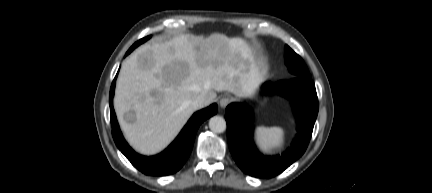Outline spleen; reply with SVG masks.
Returning a JSON list of instances; mask_svg holds the SVG:
<instances>
[{
    "label": "spleen",
    "instance_id": "1",
    "mask_svg": "<svg viewBox=\"0 0 432 193\" xmlns=\"http://www.w3.org/2000/svg\"><path fill=\"white\" fill-rule=\"evenodd\" d=\"M255 139L260 150L268 153L283 146L284 130L280 127L261 126L255 130Z\"/></svg>",
    "mask_w": 432,
    "mask_h": 193
}]
</instances>
